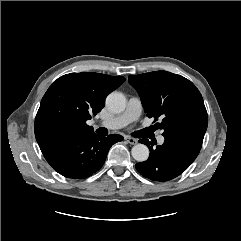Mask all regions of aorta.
<instances>
[{"instance_id": "obj_1", "label": "aorta", "mask_w": 241, "mask_h": 241, "mask_svg": "<svg viewBox=\"0 0 241 241\" xmlns=\"http://www.w3.org/2000/svg\"><path fill=\"white\" fill-rule=\"evenodd\" d=\"M106 106L115 113H120L126 108V98L122 93L112 92L106 99ZM132 157L138 161H146L149 157V149L144 144H136L131 150Z\"/></svg>"}]
</instances>
